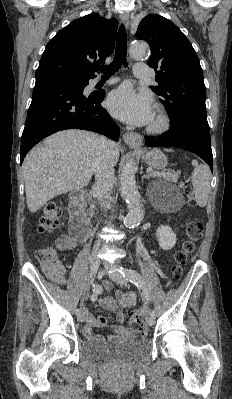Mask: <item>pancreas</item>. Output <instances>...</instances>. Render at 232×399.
<instances>
[{"label": "pancreas", "instance_id": "cf45deb5", "mask_svg": "<svg viewBox=\"0 0 232 399\" xmlns=\"http://www.w3.org/2000/svg\"><path fill=\"white\" fill-rule=\"evenodd\" d=\"M159 178H164V180H168V182H177L178 174H173V172H170V170H166V172H164V175L159 176ZM89 201H92V200H89ZM88 211H89V215H94V213H95L94 205H91V207H89Z\"/></svg>", "mask_w": 232, "mask_h": 399}]
</instances>
